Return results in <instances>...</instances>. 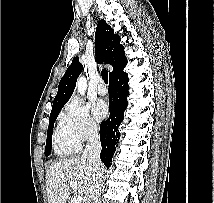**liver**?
Here are the masks:
<instances>
[{
	"label": "liver",
	"instance_id": "6515ba94",
	"mask_svg": "<svg viewBox=\"0 0 214 203\" xmlns=\"http://www.w3.org/2000/svg\"><path fill=\"white\" fill-rule=\"evenodd\" d=\"M89 172L88 161L82 156L52 163L46 171L48 203H66L71 192L70 182L77 183V192L84 203L90 185Z\"/></svg>",
	"mask_w": 214,
	"mask_h": 203
}]
</instances>
